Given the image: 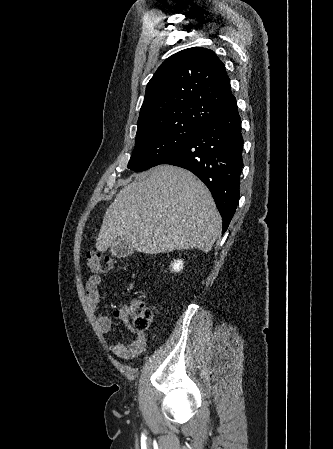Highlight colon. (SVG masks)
Segmentation results:
<instances>
[{
	"label": "colon",
	"mask_w": 333,
	"mask_h": 449,
	"mask_svg": "<svg viewBox=\"0 0 333 449\" xmlns=\"http://www.w3.org/2000/svg\"><path fill=\"white\" fill-rule=\"evenodd\" d=\"M112 260L98 251H89L86 255V266L92 272H100L103 266L110 265ZM128 314L136 330L147 329L154 317L153 311L144 302L134 300L128 307Z\"/></svg>",
	"instance_id": "colon-1"
}]
</instances>
